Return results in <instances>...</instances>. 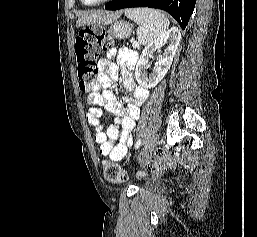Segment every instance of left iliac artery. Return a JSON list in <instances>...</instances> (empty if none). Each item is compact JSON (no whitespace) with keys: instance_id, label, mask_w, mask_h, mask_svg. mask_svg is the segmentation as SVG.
I'll return each mask as SVG.
<instances>
[{"instance_id":"left-iliac-artery-1","label":"left iliac artery","mask_w":257,"mask_h":237,"mask_svg":"<svg viewBox=\"0 0 257 237\" xmlns=\"http://www.w3.org/2000/svg\"><path fill=\"white\" fill-rule=\"evenodd\" d=\"M141 143H142V141H141V139H139V140L136 142V144H135V149H138V148L140 147Z\"/></svg>"}]
</instances>
